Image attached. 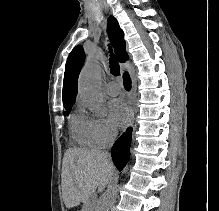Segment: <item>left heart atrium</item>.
<instances>
[{"mask_svg": "<svg viewBox=\"0 0 219 211\" xmlns=\"http://www.w3.org/2000/svg\"><path fill=\"white\" fill-rule=\"evenodd\" d=\"M108 111L110 119L115 126H122L126 123L129 116V110L122 99L115 98L111 100L108 104Z\"/></svg>", "mask_w": 219, "mask_h": 211, "instance_id": "1", "label": "left heart atrium"}]
</instances>
